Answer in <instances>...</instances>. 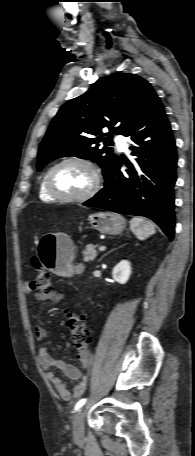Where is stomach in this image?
Segmentation results:
<instances>
[{"label": "stomach", "instance_id": "stomach-1", "mask_svg": "<svg viewBox=\"0 0 195 456\" xmlns=\"http://www.w3.org/2000/svg\"><path fill=\"white\" fill-rule=\"evenodd\" d=\"M92 227L101 233L115 235L126 226L125 219L116 213L95 212L89 216ZM38 255L43 266L58 275L73 273L74 245L65 233L44 235L38 245Z\"/></svg>", "mask_w": 195, "mask_h": 456}]
</instances>
